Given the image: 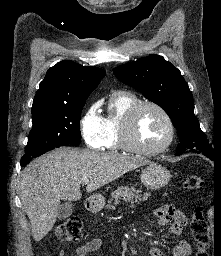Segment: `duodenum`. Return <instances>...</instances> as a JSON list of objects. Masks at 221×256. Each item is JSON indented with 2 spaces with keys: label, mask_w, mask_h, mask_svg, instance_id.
Listing matches in <instances>:
<instances>
[{
  "label": "duodenum",
  "mask_w": 221,
  "mask_h": 256,
  "mask_svg": "<svg viewBox=\"0 0 221 256\" xmlns=\"http://www.w3.org/2000/svg\"><path fill=\"white\" fill-rule=\"evenodd\" d=\"M86 206L88 210L93 211L96 209V206H97L96 201H94L93 199H90L87 201Z\"/></svg>",
  "instance_id": "410a0bca"
}]
</instances>
